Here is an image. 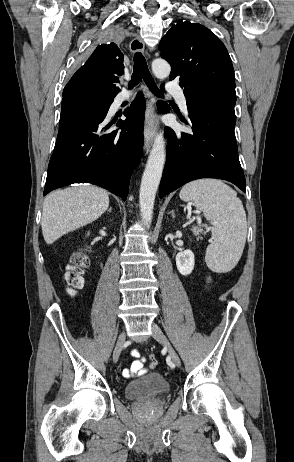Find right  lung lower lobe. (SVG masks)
<instances>
[{
  "label": "right lung lower lobe",
  "instance_id": "98d812e1",
  "mask_svg": "<svg viewBox=\"0 0 294 462\" xmlns=\"http://www.w3.org/2000/svg\"><path fill=\"white\" fill-rule=\"evenodd\" d=\"M109 107L60 118L43 195L65 185L91 183L126 200L142 154L145 99L139 93L125 110L126 120L117 123L121 132H107Z\"/></svg>",
  "mask_w": 294,
  "mask_h": 462
}]
</instances>
